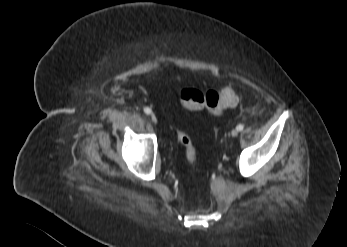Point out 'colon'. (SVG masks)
Wrapping results in <instances>:
<instances>
[{"label": "colon", "mask_w": 347, "mask_h": 247, "mask_svg": "<svg viewBox=\"0 0 347 247\" xmlns=\"http://www.w3.org/2000/svg\"><path fill=\"white\" fill-rule=\"evenodd\" d=\"M180 98L183 106L187 109H207L213 115H220L237 103V95L231 87L207 92H202L196 88H186L182 90ZM176 136L184 149L186 160L193 163L197 157V150L192 139L183 129H178Z\"/></svg>", "instance_id": "colon-1"}]
</instances>
